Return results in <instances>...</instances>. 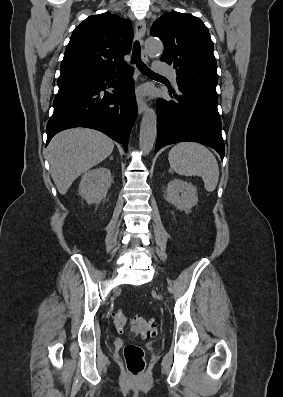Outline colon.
I'll list each match as a JSON object with an SVG mask.
<instances>
[{"instance_id":"obj_1","label":"colon","mask_w":283,"mask_h":397,"mask_svg":"<svg viewBox=\"0 0 283 397\" xmlns=\"http://www.w3.org/2000/svg\"><path fill=\"white\" fill-rule=\"evenodd\" d=\"M113 324L122 332L128 326L142 338H150L156 335L157 327L153 319H146L142 316H134L128 320L121 309L113 312ZM123 355L128 373L133 377L141 376L145 370V352L139 345L129 343L124 347Z\"/></svg>"}]
</instances>
